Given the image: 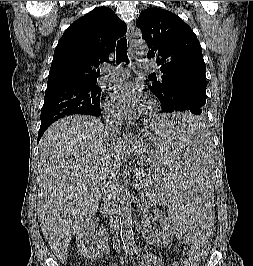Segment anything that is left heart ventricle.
<instances>
[{
	"label": "left heart ventricle",
	"mask_w": 253,
	"mask_h": 266,
	"mask_svg": "<svg viewBox=\"0 0 253 266\" xmlns=\"http://www.w3.org/2000/svg\"><path fill=\"white\" fill-rule=\"evenodd\" d=\"M148 110H149V105H148V102H147L146 105H145V109H144L143 114L145 115L148 112Z\"/></svg>",
	"instance_id": "left-heart-ventricle-1"
}]
</instances>
